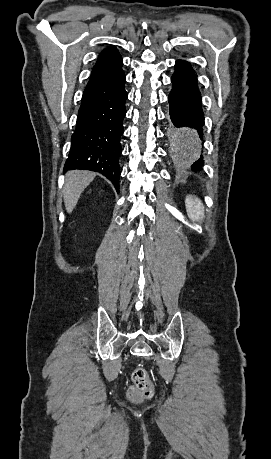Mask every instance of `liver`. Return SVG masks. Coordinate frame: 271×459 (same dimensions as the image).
Wrapping results in <instances>:
<instances>
[{"label":"liver","mask_w":271,"mask_h":459,"mask_svg":"<svg viewBox=\"0 0 271 459\" xmlns=\"http://www.w3.org/2000/svg\"><path fill=\"white\" fill-rule=\"evenodd\" d=\"M95 176L94 172H79V170L67 172L63 188V198L68 214L73 212L82 192L94 180Z\"/></svg>","instance_id":"6515ba94"}]
</instances>
